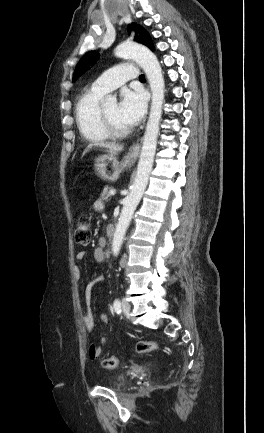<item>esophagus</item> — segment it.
I'll return each mask as SVG.
<instances>
[{"label": "esophagus", "instance_id": "esophagus-1", "mask_svg": "<svg viewBox=\"0 0 264 433\" xmlns=\"http://www.w3.org/2000/svg\"><path fill=\"white\" fill-rule=\"evenodd\" d=\"M140 146H141L140 141H137L136 143H134L130 147L129 152L127 154L128 160H136L137 159L139 152H140Z\"/></svg>", "mask_w": 264, "mask_h": 433}]
</instances>
